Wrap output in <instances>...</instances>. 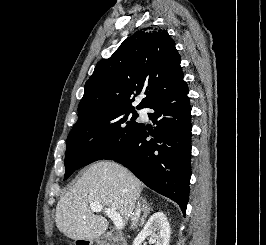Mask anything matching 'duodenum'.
<instances>
[{
  "mask_svg": "<svg viewBox=\"0 0 266 245\" xmlns=\"http://www.w3.org/2000/svg\"><path fill=\"white\" fill-rule=\"evenodd\" d=\"M78 245H126L125 241L118 234H108L101 241V237H90V242H88V237H77Z\"/></svg>",
  "mask_w": 266,
  "mask_h": 245,
  "instance_id": "duodenum-1",
  "label": "duodenum"
}]
</instances>
